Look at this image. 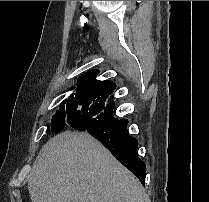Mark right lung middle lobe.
<instances>
[{
	"label": "right lung middle lobe",
	"mask_w": 209,
	"mask_h": 202,
	"mask_svg": "<svg viewBox=\"0 0 209 202\" xmlns=\"http://www.w3.org/2000/svg\"><path fill=\"white\" fill-rule=\"evenodd\" d=\"M92 78L93 77L91 75H86V76L81 75L78 78V82H77L78 88L76 93L71 94L68 99H66L61 103L60 111L57 114H55L52 118V123H51L52 132H60L64 129L66 116L68 120L79 113L81 106L80 91L83 88V86H85L91 81ZM63 103H66V109Z\"/></svg>",
	"instance_id": "1"
}]
</instances>
